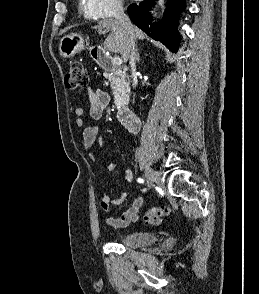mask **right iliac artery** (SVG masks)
<instances>
[{
    "label": "right iliac artery",
    "instance_id": "obj_1",
    "mask_svg": "<svg viewBox=\"0 0 259 294\" xmlns=\"http://www.w3.org/2000/svg\"><path fill=\"white\" fill-rule=\"evenodd\" d=\"M138 182H140V183H143V182H144V180H143V179H141V178H139V179H138Z\"/></svg>",
    "mask_w": 259,
    "mask_h": 294
}]
</instances>
